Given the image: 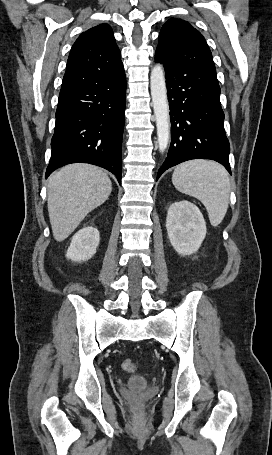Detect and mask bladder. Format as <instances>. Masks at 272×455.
Segmentation results:
<instances>
[{
  "label": "bladder",
  "instance_id": "obj_1",
  "mask_svg": "<svg viewBox=\"0 0 272 455\" xmlns=\"http://www.w3.org/2000/svg\"><path fill=\"white\" fill-rule=\"evenodd\" d=\"M148 382L147 379L143 376H132L129 381L128 385L136 390L144 389L147 386Z\"/></svg>",
  "mask_w": 272,
  "mask_h": 455
}]
</instances>
